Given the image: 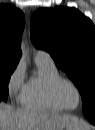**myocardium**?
Wrapping results in <instances>:
<instances>
[{"mask_svg": "<svg viewBox=\"0 0 95 130\" xmlns=\"http://www.w3.org/2000/svg\"><path fill=\"white\" fill-rule=\"evenodd\" d=\"M64 84H68V85H71L72 87L75 88V90L77 91L78 93V96H79V103L78 105L75 107V108H70L68 106H66L61 98V95H60V88L62 85ZM51 93H52V96L54 98V100L64 109V110H67V111H75L77 110L78 108H80V106L82 105L83 103V94H82V91L80 89V87L74 82L72 81L71 79H68V78H63V77H60L59 79H57L51 86Z\"/></svg>", "mask_w": 95, "mask_h": 130, "instance_id": "obj_1", "label": "myocardium"}]
</instances>
